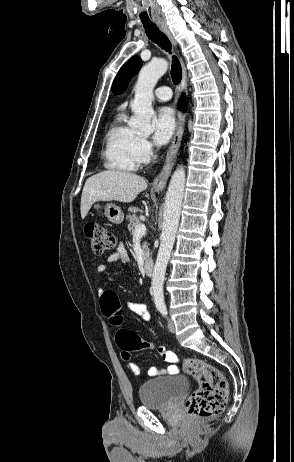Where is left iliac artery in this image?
<instances>
[{
    "label": "left iliac artery",
    "mask_w": 294,
    "mask_h": 462,
    "mask_svg": "<svg viewBox=\"0 0 294 462\" xmlns=\"http://www.w3.org/2000/svg\"><path fill=\"white\" fill-rule=\"evenodd\" d=\"M159 311L161 312V314H162L163 316H165V317L167 316V308H166L165 306L160 307V308H159Z\"/></svg>",
    "instance_id": "obj_1"
}]
</instances>
